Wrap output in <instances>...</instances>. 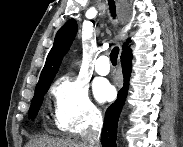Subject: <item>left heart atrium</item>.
<instances>
[{"label":"left heart atrium","instance_id":"obj_1","mask_svg":"<svg viewBox=\"0 0 183 147\" xmlns=\"http://www.w3.org/2000/svg\"><path fill=\"white\" fill-rule=\"evenodd\" d=\"M93 91L95 98L99 102H105L110 100L114 94L112 85L104 79H99L94 83Z\"/></svg>","mask_w":183,"mask_h":147}]
</instances>
